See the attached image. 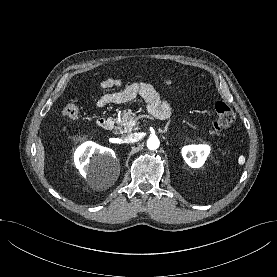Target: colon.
Wrapping results in <instances>:
<instances>
[{
  "mask_svg": "<svg viewBox=\"0 0 277 277\" xmlns=\"http://www.w3.org/2000/svg\"><path fill=\"white\" fill-rule=\"evenodd\" d=\"M215 120L213 122V132L219 133L228 129L235 120L233 110L222 101L215 104ZM63 115L70 119L76 120L80 116V105L77 101L69 102L63 109Z\"/></svg>",
  "mask_w": 277,
  "mask_h": 277,
  "instance_id": "1",
  "label": "colon"
}]
</instances>
